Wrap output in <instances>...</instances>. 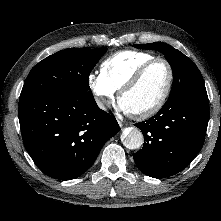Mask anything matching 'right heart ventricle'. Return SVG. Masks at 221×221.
<instances>
[{
	"label": "right heart ventricle",
	"instance_id": "1",
	"mask_svg": "<svg viewBox=\"0 0 221 221\" xmlns=\"http://www.w3.org/2000/svg\"><path fill=\"white\" fill-rule=\"evenodd\" d=\"M155 57L143 51H119L101 63V74L115 90H119L142 64Z\"/></svg>",
	"mask_w": 221,
	"mask_h": 221
}]
</instances>
